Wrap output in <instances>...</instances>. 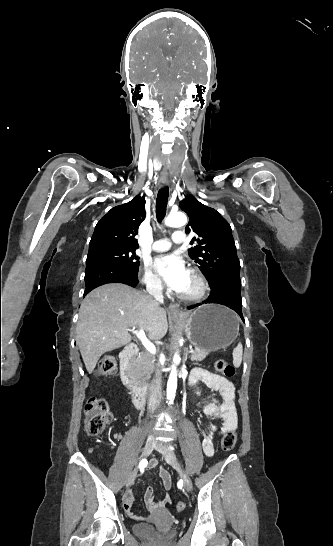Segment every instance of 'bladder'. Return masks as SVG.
Instances as JSON below:
<instances>
[{
	"mask_svg": "<svg viewBox=\"0 0 333 546\" xmlns=\"http://www.w3.org/2000/svg\"><path fill=\"white\" fill-rule=\"evenodd\" d=\"M133 531L140 537H156L161 538L166 536L160 532L154 525L148 523H138L134 525Z\"/></svg>",
	"mask_w": 333,
	"mask_h": 546,
	"instance_id": "31cf9c89",
	"label": "bladder"
}]
</instances>
